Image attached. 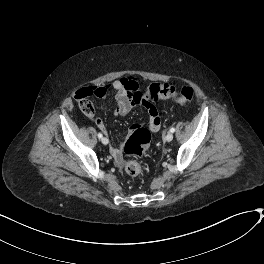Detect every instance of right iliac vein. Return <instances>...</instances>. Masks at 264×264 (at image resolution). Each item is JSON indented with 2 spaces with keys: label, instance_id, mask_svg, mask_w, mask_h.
I'll return each mask as SVG.
<instances>
[{
  "label": "right iliac vein",
  "instance_id": "1",
  "mask_svg": "<svg viewBox=\"0 0 264 264\" xmlns=\"http://www.w3.org/2000/svg\"><path fill=\"white\" fill-rule=\"evenodd\" d=\"M101 142H102L104 145H107L108 142H109V140H108V138L103 137V138L101 139Z\"/></svg>",
  "mask_w": 264,
  "mask_h": 264
}]
</instances>
